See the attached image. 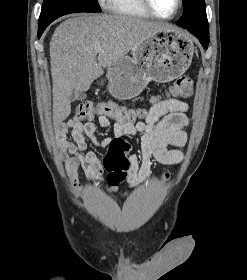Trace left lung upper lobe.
<instances>
[{"label":"left lung upper lobe","mask_w":247,"mask_h":280,"mask_svg":"<svg viewBox=\"0 0 247 280\" xmlns=\"http://www.w3.org/2000/svg\"><path fill=\"white\" fill-rule=\"evenodd\" d=\"M184 12L178 21L179 25L188 30L194 29L197 32L209 36V26L206 15L204 0H183Z\"/></svg>","instance_id":"1"}]
</instances>
